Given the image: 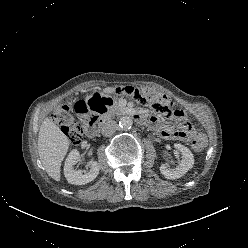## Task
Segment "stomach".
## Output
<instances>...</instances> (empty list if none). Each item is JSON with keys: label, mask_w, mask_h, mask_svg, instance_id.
Wrapping results in <instances>:
<instances>
[{"label": "stomach", "mask_w": 248, "mask_h": 248, "mask_svg": "<svg viewBox=\"0 0 248 248\" xmlns=\"http://www.w3.org/2000/svg\"><path fill=\"white\" fill-rule=\"evenodd\" d=\"M85 106L91 110H98L104 116L113 114L117 108L115 99L97 89L87 91L83 97Z\"/></svg>", "instance_id": "0dacf381"}]
</instances>
